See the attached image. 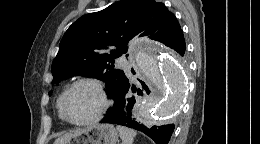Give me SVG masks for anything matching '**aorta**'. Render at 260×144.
Here are the masks:
<instances>
[{
	"label": "aorta",
	"instance_id": "762f6f07",
	"mask_svg": "<svg viewBox=\"0 0 260 144\" xmlns=\"http://www.w3.org/2000/svg\"><path fill=\"white\" fill-rule=\"evenodd\" d=\"M135 61L155 90L138 106L137 118L143 124L163 122L175 113L185 91L183 69L177 55L161 46L137 41Z\"/></svg>",
	"mask_w": 260,
	"mask_h": 144
}]
</instances>
